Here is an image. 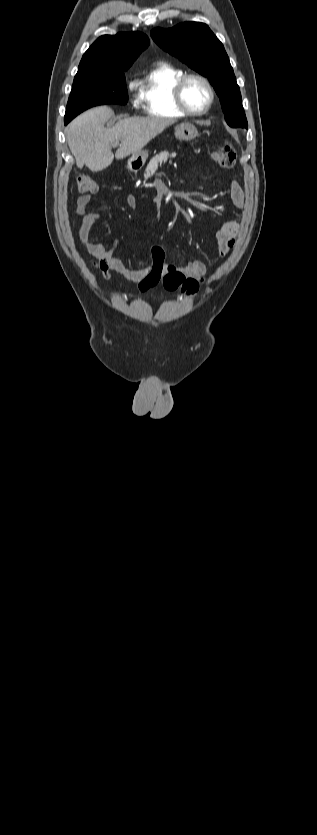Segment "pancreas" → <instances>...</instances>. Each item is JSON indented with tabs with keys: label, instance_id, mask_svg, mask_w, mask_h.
I'll use <instances>...</instances> for the list:
<instances>
[{
	"label": "pancreas",
	"instance_id": "pancreas-1",
	"mask_svg": "<svg viewBox=\"0 0 317 835\" xmlns=\"http://www.w3.org/2000/svg\"><path fill=\"white\" fill-rule=\"evenodd\" d=\"M176 155H177V154H176L175 152H173V153H169L168 151H163V152H161V153H159V154L155 155V156H154V157L150 160L149 164L147 165V168H146V170H145V174H144V178H145V180H147V179H148V178H150L153 174H155V173H156V171L158 170V167H159V166H161L162 164H164V163H165V162H166L169 158H174V157H176Z\"/></svg>",
	"mask_w": 317,
	"mask_h": 835
}]
</instances>
